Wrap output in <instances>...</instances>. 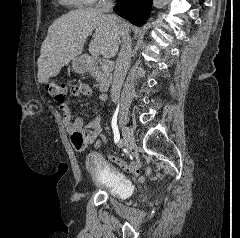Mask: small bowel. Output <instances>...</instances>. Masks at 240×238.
Instances as JSON below:
<instances>
[{
  "mask_svg": "<svg viewBox=\"0 0 240 238\" xmlns=\"http://www.w3.org/2000/svg\"><path fill=\"white\" fill-rule=\"evenodd\" d=\"M70 92L75 97L80 96H90L92 94V88L84 83H78L71 87ZM108 99V96L104 93L98 95L96 101L104 102ZM60 108L63 113V122L65 124L68 132L73 134L74 132H81L85 136L84 145L81 147L75 146L77 149L81 150L86 144L94 143L96 150L100 149L99 143H104L105 146L109 145L107 138L102 135V118L96 116L88 124H84V121L80 117H74L72 115L70 107L66 103H61ZM97 152V151H96ZM108 162H116V166H120L122 172H127L129 175H138L140 169V163L129 164L128 161H123V157H118V154H110L107 158ZM147 180V175H140V183L142 187H151V182H145Z\"/></svg>",
  "mask_w": 240,
  "mask_h": 238,
  "instance_id": "small-bowel-1",
  "label": "small bowel"
}]
</instances>
